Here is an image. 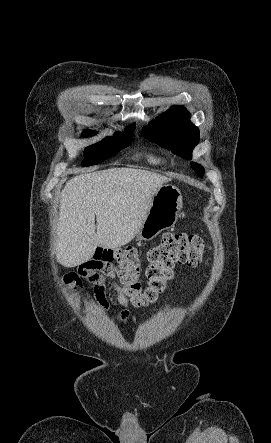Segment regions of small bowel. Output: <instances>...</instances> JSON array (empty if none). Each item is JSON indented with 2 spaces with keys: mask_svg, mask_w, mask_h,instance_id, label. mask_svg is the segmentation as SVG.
<instances>
[{
  "mask_svg": "<svg viewBox=\"0 0 271 443\" xmlns=\"http://www.w3.org/2000/svg\"><path fill=\"white\" fill-rule=\"evenodd\" d=\"M118 272L119 269H116L111 264H102L91 259L80 265L78 272L66 275L63 281L69 286V293L80 298L82 297L81 278L88 279L93 284L94 289V298L92 302L100 310H106L109 306L106 297V284L107 282H112L114 289L118 293L120 304L127 307L128 299L123 295L121 287L115 281ZM84 300L88 302L89 299L84 298ZM126 316L127 313H123L122 318H126Z\"/></svg>",
  "mask_w": 271,
  "mask_h": 443,
  "instance_id": "obj_1",
  "label": "small bowel"
}]
</instances>
